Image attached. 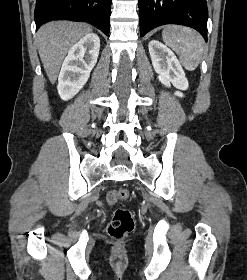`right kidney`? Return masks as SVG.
Segmentation results:
<instances>
[{
	"label": "right kidney",
	"instance_id": "1",
	"mask_svg": "<svg viewBox=\"0 0 247 280\" xmlns=\"http://www.w3.org/2000/svg\"><path fill=\"white\" fill-rule=\"evenodd\" d=\"M99 48L100 39L95 33L85 35L70 48L58 77L61 99H71L86 84L97 62Z\"/></svg>",
	"mask_w": 247,
	"mask_h": 280
}]
</instances>
